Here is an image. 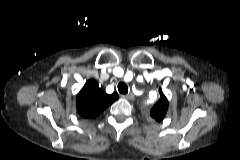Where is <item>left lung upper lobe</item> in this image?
Returning <instances> with one entry per match:
<instances>
[{
	"instance_id": "obj_1",
	"label": "left lung upper lobe",
	"mask_w": 240,
	"mask_h": 160,
	"mask_svg": "<svg viewBox=\"0 0 240 160\" xmlns=\"http://www.w3.org/2000/svg\"><path fill=\"white\" fill-rule=\"evenodd\" d=\"M159 92H160V99L150 110V115L156 121L161 122L164 119L168 110V100L160 88H159Z\"/></svg>"
}]
</instances>
